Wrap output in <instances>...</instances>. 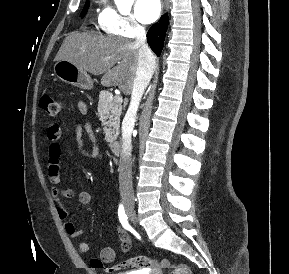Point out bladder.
<instances>
[{
	"label": "bladder",
	"mask_w": 289,
	"mask_h": 274,
	"mask_svg": "<svg viewBox=\"0 0 289 274\" xmlns=\"http://www.w3.org/2000/svg\"><path fill=\"white\" fill-rule=\"evenodd\" d=\"M117 274H147L144 271H129V272H120Z\"/></svg>",
	"instance_id": "31cf9c89"
}]
</instances>
